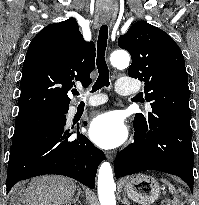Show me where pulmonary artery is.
<instances>
[{
	"mask_svg": "<svg viewBox=\"0 0 199 205\" xmlns=\"http://www.w3.org/2000/svg\"><path fill=\"white\" fill-rule=\"evenodd\" d=\"M116 91L122 95H130L137 91V87L133 85H128L125 79H119L116 83ZM104 100L105 97L88 98L86 104L87 106H95L104 102ZM76 108V106H73L70 110L71 113H73L76 110Z\"/></svg>",
	"mask_w": 199,
	"mask_h": 205,
	"instance_id": "obj_1",
	"label": "pulmonary artery"
}]
</instances>
